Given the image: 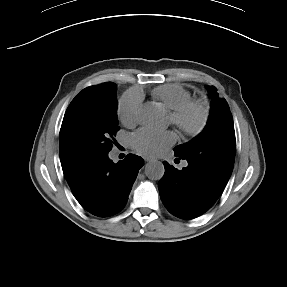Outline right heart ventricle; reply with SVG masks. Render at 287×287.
Wrapping results in <instances>:
<instances>
[{
    "instance_id": "obj_1",
    "label": "right heart ventricle",
    "mask_w": 287,
    "mask_h": 287,
    "mask_svg": "<svg viewBox=\"0 0 287 287\" xmlns=\"http://www.w3.org/2000/svg\"><path fill=\"white\" fill-rule=\"evenodd\" d=\"M152 95L168 113H172L191 99L190 92L176 83L161 85L153 91Z\"/></svg>"
}]
</instances>
